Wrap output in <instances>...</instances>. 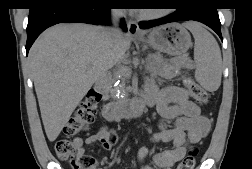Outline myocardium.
<instances>
[{"label":"myocardium","mask_w":252,"mask_h":169,"mask_svg":"<svg viewBox=\"0 0 252 169\" xmlns=\"http://www.w3.org/2000/svg\"><path fill=\"white\" fill-rule=\"evenodd\" d=\"M162 15V12L158 11H139L138 16L142 19H155Z\"/></svg>","instance_id":"f54148a6"}]
</instances>
